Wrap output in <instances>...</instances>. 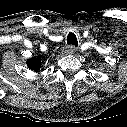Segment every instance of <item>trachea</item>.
<instances>
[{"instance_id":"1","label":"trachea","mask_w":127,"mask_h":127,"mask_svg":"<svg viewBox=\"0 0 127 127\" xmlns=\"http://www.w3.org/2000/svg\"><path fill=\"white\" fill-rule=\"evenodd\" d=\"M67 44L77 47L78 41H77V37L74 33L71 32V33L68 34Z\"/></svg>"}]
</instances>
